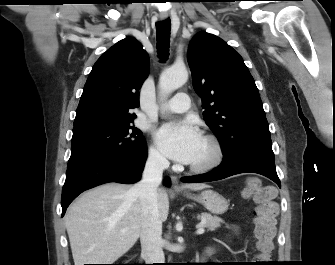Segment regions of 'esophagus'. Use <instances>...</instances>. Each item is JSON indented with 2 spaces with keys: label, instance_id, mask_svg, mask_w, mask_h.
Here are the masks:
<instances>
[{
  "label": "esophagus",
  "instance_id": "obj_1",
  "mask_svg": "<svg viewBox=\"0 0 335 265\" xmlns=\"http://www.w3.org/2000/svg\"><path fill=\"white\" fill-rule=\"evenodd\" d=\"M159 17H160L161 20H166L168 18V13L162 12V13H160ZM172 181H173L175 190L180 191L181 187L178 184L177 178L172 177Z\"/></svg>",
  "mask_w": 335,
  "mask_h": 265
}]
</instances>
